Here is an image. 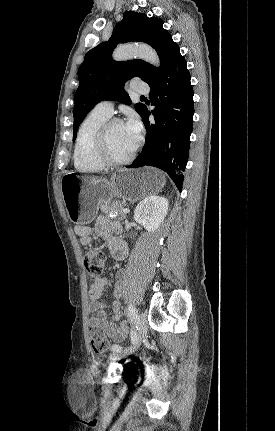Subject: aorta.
<instances>
[{
	"mask_svg": "<svg viewBox=\"0 0 275 431\" xmlns=\"http://www.w3.org/2000/svg\"><path fill=\"white\" fill-rule=\"evenodd\" d=\"M136 57L143 59L154 66H159L160 64L156 51L145 44L119 46L113 53V58L117 61L129 60Z\"/></svg>",
	"mask_w": 275,
	"mask_h": 431,
	"instance_id": "762f6f07",
	"label": "aorta"
}]
</instances>
